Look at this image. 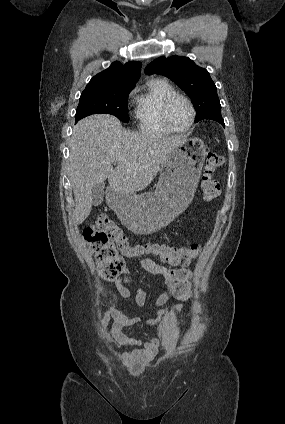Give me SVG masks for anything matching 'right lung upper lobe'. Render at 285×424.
<instances>
[{
  "mask_svg": "<svg viewBox=\"0 0 285 424\" xmlns=\"http://www.w3.org/2000/svg\"><path fill=\"white\" fill-rule=\"evenodd\" d=\"M141 63L132 61L121 64L113 62L110 67L91 78L85 89L105 88L114 86H135L140 78Z\"/></svg>",
  "mask_w": 285,
  "mask_h": 424,
  "instance_id": "1",
  "label": "right lung upper lobe"
}]
</instances>
